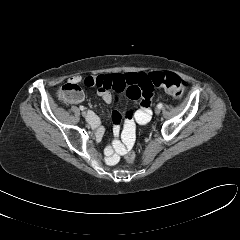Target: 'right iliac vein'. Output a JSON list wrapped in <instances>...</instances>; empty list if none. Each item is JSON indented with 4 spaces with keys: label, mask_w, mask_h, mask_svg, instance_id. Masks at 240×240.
<instances>
[{
    "label": "right iliac vein",
    "mask_w": 240,
    "mask_h": 240,
    "mask_svg": "<svg viewBox=\"0 0 240 240\" xmlns=\"http://www.w3.org/2000/svg\"><path fill=\"white\" fill-rule=\"evenodd\" d=\"M82 116H83V117H86V116H87V113H86L85 110H82Z\"/></svg>",
    "instance_id": "obj_1"
}]
</instances>
